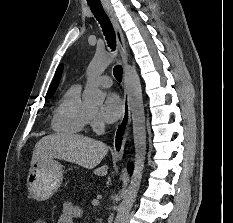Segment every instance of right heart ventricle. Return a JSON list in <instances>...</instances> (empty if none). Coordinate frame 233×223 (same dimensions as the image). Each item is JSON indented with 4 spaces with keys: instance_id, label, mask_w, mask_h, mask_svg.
Masks as SVG:
<instances>
[{
    "instance_id": "obj_1",
    "label": "right heart ventricle",
    "mask_w": 233,
    "mask_h": 223,
    "mask_svg": "<svg viewBox=\"0 0 233 223\" xmlns=\"http://www.w3.org/2000/svg\"><path fill=\"white\" fill-rule=\"evenodd\" d=\"M81 87H68L58 102L51 116V128L61 134H79L89 123V109L80 97Z\"/></svg>"
}]
</instances>
